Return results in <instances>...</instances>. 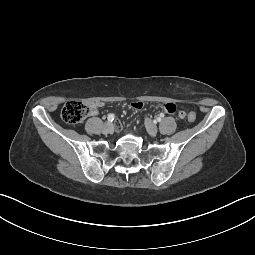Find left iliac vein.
<instances>
[{"label":"left iliac vein","instance_id":"obj_1","mask_svg":"<svg viewBox=\"0 0 255 255\" xmlns=\"http://www.w3.org/2000/svg\"><path fill=\"white\" fill-rule=\"evenodd\" d=\"M145 126H146L148 133L151 136H156L158 129H157V126L155 125V123L151 119H149V118L145 119Z\"/></svg>","mask_w":255,"mask_h":255}]
</instances>
